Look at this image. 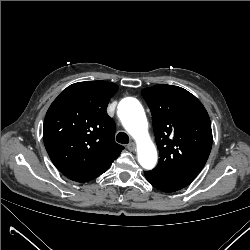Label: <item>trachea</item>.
I'll return each instance as SVG.
<instances>
[{"label":"trachea","instance_id":"3493384b","mask_svg":"<svg viewBox=\"0 0 250 250\" xmlns=\"http://www.w3.org/2000/svg\"><path fill=\"white\" fill-rule=\"evenodd\" d=\"M117 142L121 144H128L129 143V137L126 133L124 132H119L116 136Z\"/></svg>","mask_w":250,"mask_h":250}]
</instances>
